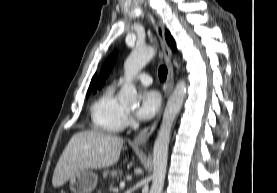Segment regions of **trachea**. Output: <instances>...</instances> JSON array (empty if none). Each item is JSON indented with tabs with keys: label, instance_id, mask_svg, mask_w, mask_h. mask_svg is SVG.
<instances>
[{
	"label": "trachea",
	"instance_id": "1",
	"mask_svg": "<svg viewBox=\"0 0 277 193\" xmlns=\"http://www.w3.org/2000/svg\"><path fill=\"white\" fill-rule=\"evenodd\" d=\"M159 79L164 81L167 77V68L165 66H160L158 71Z\"/></svg>",
	"mask_w": 277,
	"mask_h": 193
}]
</instances>
